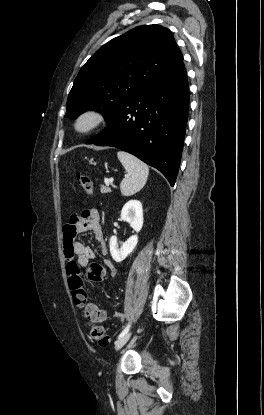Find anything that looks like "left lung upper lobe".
Masks as SVG:
<instances>
[{
	"label": "left lung upper lobe",
	"instance_id": "5c2ea615",
	"mask_svg": "<svg viewBox=\"0 0 264 415\" xmlns=\"http://www.w3.org/2000/svg\"><path fill=\"white\" fill-rule=\"evenodd\" d=\"M183 60L171 31L138 26L103 45L80 69L67 100L65 117L87 110L109 122L132 97Z\"/></svg>",
	"mask_w": 264,
	"mask_h": 415
}]
</instances>
